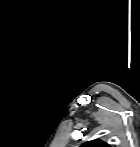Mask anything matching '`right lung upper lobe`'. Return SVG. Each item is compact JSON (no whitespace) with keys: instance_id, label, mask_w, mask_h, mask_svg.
Instances as JSON below:
<instances>
[{"instance_id":"1","label":"right lung upper lobe","mask_w":140,"mask_h":147,"mask_svg":"<svg viewBox=\"0 0 140 147\" xmlns=\"http://www.w3.org/2000/svg\"><path fill=\"white\" fill-rule=\"evenodd\" d=\"M85 147H107L108 145L100 140H93L84 144Z\"/></svg>"}]
</instances>
